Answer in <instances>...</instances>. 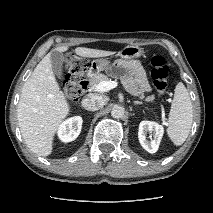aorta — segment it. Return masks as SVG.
Instances as JSON below:
<instances>
[{
	"label": "aorta",
	"instance_id": "obj_1",
	"mask_svg": "<svg viewBox=\"0 0 213 213\" xmlns=\"http://www.w3.org/2000/svg\"><path fill=\"white\" fill-rule=\"evenodd\" d=\"M124 114H125V108L123 106L115 105L112 108L111 116L113 118H122L124 116Z\"/></svg>",
	"mask_w": 213,
	"mask_h": 213
}]
</instances>
